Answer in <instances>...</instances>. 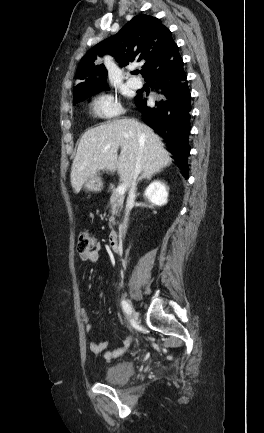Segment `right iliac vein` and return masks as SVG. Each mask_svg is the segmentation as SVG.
<instances>
[{
    "mask_svg": "<svg viewBox=\"0 0 264 433\" xmlns=\"http://www.w3.org/2000/svg\"><path fill=\"white\" fill-rule=\"evenodd\" d=\"M128 304L130 306L132 319L136 321L138 319V315H137L132 303L130 301H128Z\"/></svg>",
    "mask_w": 264,
    "mask_h": 433,
    "instance_id": "63e3f726",
    "label": "right iliac vein"
}]
</instances>
